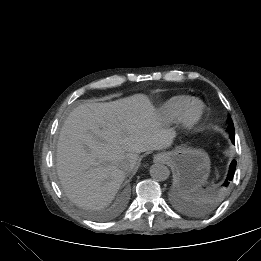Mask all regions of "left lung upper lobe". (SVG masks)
I'll use <instances>...</instances> for the list:
<instances>
[{"mask_svg":"<svg viewBox=\"0 0 261 261\" xmlns=\"http://www.w3.org/2000/svg\"><path fill=\"white\" fill-rule=\"evenodd\" d=\"M228 127H227V130L229 132V134H233L234 135V125H233V122L231 121L230 118H228ZM229 184L226 183V181L223 183V187H227Z\"/></svg>","mask_w":261,"mask_h":261,"instance_id":"obj_1","label":"left lung upper lobe"}]
</instances>
